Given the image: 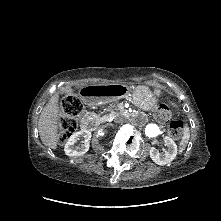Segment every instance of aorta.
I'll use <instances>...</instances> for the list:
<instances>
[{
  "label": "aorta",
  "mask_w": 221,
  "mask_h": 221,
  "mask_svg": "<svg viewBox=\"0 0 221 221\" xmlns=\"http://www.w3.org/2000/svg\"><path fill=\"white\" fill-rule=\"evenodd\" d=\"M160 130L159 127L156 124H148L145 128V134L148 137H156L159 135Z\"/></svg>",
  "instance_id": "762f6f07"
}]
</instances>
